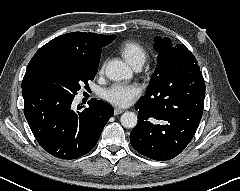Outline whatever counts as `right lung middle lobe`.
I'll return each mask as SVG.
<instances>
[{
    "mask_svg": "<svg viewBox=\"0 0 240 191\" xmlns=\"http://www.w3.org/2000/svg\"><path fill=\"white\" fill-rule=\"evenodd\" d=\"M98 65H82L47 60L36 66L24 79L22 91L50 92L74 98L81 85L93 80Z\"/></svg>",
    "mask_w": 240,
    "mask_h": 191,
    "instance_id": "obj_1",
    "label": "right lung middle lobe"
}]
</instances>
